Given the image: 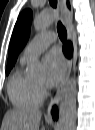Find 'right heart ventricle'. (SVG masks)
<instances>
[{"mask_svg":"<svg viewBox=\"0 0 95 130\" xmlns=\"http://www.w3.org/2000/svg\"><path fill=\"white\" fill-rule=\"evenodd\" d=\"M26 60H20L8 83V95L12 104L19 109L37 108L42 103V93L36 82L23 72Z\"/></svg>","mask_w":95,"mask_h":130,"instance_id":"1","label":"right heart ventricle"}]
</instances>
